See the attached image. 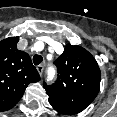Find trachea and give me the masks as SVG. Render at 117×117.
Listing matches in <instances>:
<instances>
[{"mask_svg": "<svg viewBox=\"0 0 117 117\" xmlns=\"http://www.w3.org/2000/svg\"><path fill=\"white\" fill-rule=\"evenodd\" d=\"M43 58L41 55H34L33 57V63L35 65H39L42 62Z\"/></svg>", "mask_w": 117, "mask_h": 117, "instance_id": "trachea-1", "label": "trachea"}]
</instances>
